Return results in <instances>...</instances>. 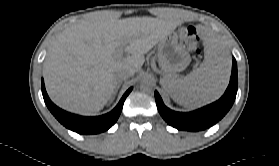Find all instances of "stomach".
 <instances>
[{
    "label": "stomach",
    "instance_id": "stomach-1",
    "mask_svg": "<svg viewBox=\"0 0 279 166\" xmlns=\"http://www.w3.org/2000/svg\"><path fill=\"white\" fill-rule=\"evenodd\" d=\"M188 51L178 42V36L170 33L158 43V62L164 78H172L190 63Z\"/></svg>",
    "mask_w": 279,
    "mask_h": 166
}]
</instances>
